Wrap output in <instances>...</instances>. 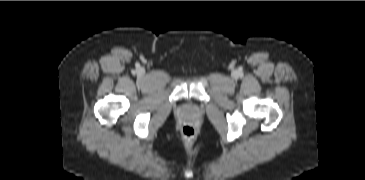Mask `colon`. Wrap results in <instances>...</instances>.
Here are the masks:
<instances>
[{
	"mask_svg": "<svg viewBox=\"0 0 365 180\" xmlns=\"http://www.w3.org/2000/svg\"><path fill=\"white\" fill-rule=\"evenodd\" d=\"M182 134L186 139H191L194 136V129L191 125H185L182 128Z\"/></svg>",
	"mask_w": 365,
	"mask_h": 180,
	"instance_id": "1",
	"label": "colon"
}]
</instances>
